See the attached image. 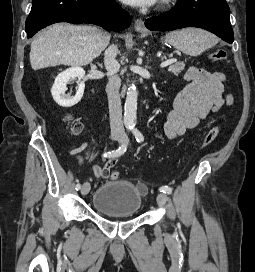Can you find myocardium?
Here are the masks:
<instances>
[{
    "instance_id": "obj_1",
    "label": "myocardium",
    "mask_w": 255,
    "mask_h": 272,
    "mask_svg": "<svg viewBox=\"0 0 255 272\" xmlns=\"http://www.w3.org/2000/svg\"><path fill=\"white\" fill-rule=\"evenodd\" d=\"M174 0H161L160 4L161 6H167Z\"/></svg>"
}]
</instances>
